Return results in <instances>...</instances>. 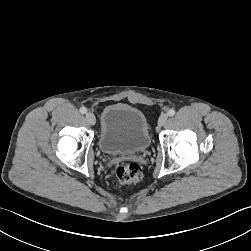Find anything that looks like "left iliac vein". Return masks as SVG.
I'll return each mask as SVG.
<instances>
[{"label":"left iliac vein","mask_w":251,"mask_h":251,"mask_svg":"<svg viewBox=\"0 0 251 251\" xmlns=\"http://www.w3.org/2000/svg\"><path fill=\"white\" fill-rule=\"evenodd\" d=\"M167 120H168V115H167V114H162V115L159 117V119H158V125H159L160 127L164 126L165 123L167 122Z\"/></svg>","instance_id":"left-iliac-vein-1"}]
</instances>
